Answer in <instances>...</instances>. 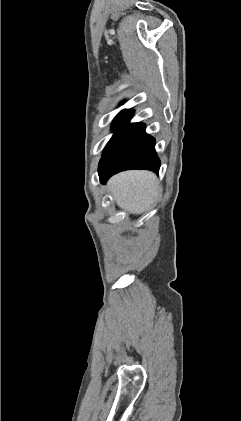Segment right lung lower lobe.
Here are the masks:
<instances>
[{"mask_svg": "<svg viewBox=\"0 0 241 421\" xmlns=\"http://www.w3.org/2000/svg\"><path fill=\"white\" fill-rule=\"evenodd\" d=\"M130 116L120 132L105 151L99 163L101 183L113 174L128 169H149L158 172L160 160L155 151V139L145 132L142 123L130 124Z\"/></svg>", "mask_w": 241, "mask_h": 421, "instance_id": "obj_1", "label": "right lung lower lobe"}]
</instances>
